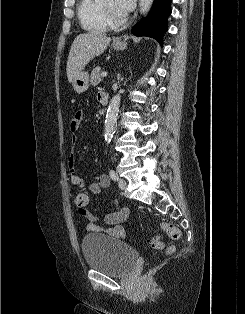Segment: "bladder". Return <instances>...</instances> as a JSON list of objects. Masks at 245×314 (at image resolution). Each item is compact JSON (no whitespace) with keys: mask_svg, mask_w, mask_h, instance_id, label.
Returning <instances> with one entry per match:
<instances>
[{"mask_svg":"<svg viewBox=\"0 0 245 314\" xmlns=\"http://www.w3.org/2000/svg\"><path fill=\"white\" fill-rule=\"evenodd\" d=\"M82 253L88 267L109 275H123L138 259V252L126 243L100 234H87Z\"/></svg>","mask_w":245,"mask_h":314,"instance_id":"bladder-1","label":"bladder"}]
</instances>
